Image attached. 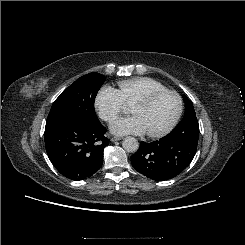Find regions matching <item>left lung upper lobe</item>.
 Wrapping results in <instances>:
<instances>
[{"instance_id": "obj_1", "label": "left lung upper lobe", "mask_w": 245, "mask_h": 245, "mask_svg": "<svg viewBox=\"0 0 245 245\" xmlns=\"http://www.w3.org/2000/svg\"><path fill=\"white\" fill-rule=\"evenodd\" d=\"M185 102V114L182 121L165 136L171 141H190L198 143L199 124L196 118L194 106L186 95L183 96Z\"/></svg>"}]
</instances>
